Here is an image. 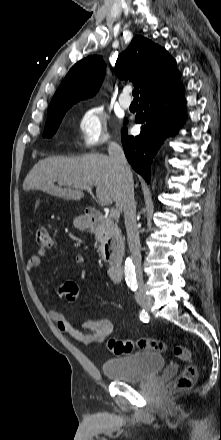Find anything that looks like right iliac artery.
<instances>
[{
  "label": "right iliac artery",
  "mask_w": 221,
  "mask_h": 440,
  "mask_svg": "<svg viewBox=\"0 0 221 440\" xmlns=\"http://www.w3.org/2000/svg\"><path fill=\"white\" fill-rule=\"evenodd\" d=\"M139 316H140V319H141L143 322H148V320H149V315H148L147 312H145V310L140 311Z\"/></svg>",
  "instance_id": "obj_1"
}]
</instances>
